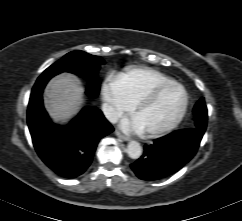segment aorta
<instances>
[{"label":"aorta","mask_w":242,"mask_h":221,"mask_svg":"<svg viewBox=\"0 0 242 221\" xmlns=\"http://www.w3.org/2000/svg\"><path fill=\"white\" fill-rule=\"evenodd\" d=\"M127 154L132 159H138L142 155V147L137 141H130L127 145Z\"/></svg>","instance_id":"obj_1"}]
</instances>
